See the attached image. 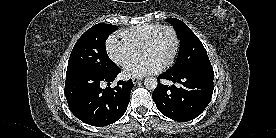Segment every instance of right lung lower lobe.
<instances>
[{"label":"right lung lower lobe","mask_w":276,"mask_h":138,"mask_svg":"<svg viewBox=\"0 0 276 138\" xmlns=\"http://www.w3.org/2000/svg\"><path fill=\"white\" fill-rule=\"evenodd\" d=\"M121 69L87 71L66 77L65 95L71 112L86 124L103 127L119 120L127 110L133 82L119 81L114 88H102L114 81Z\"/></svg>","instance_id":"right-lung-lower-lobe-1"}]
</instances>
